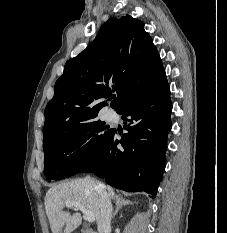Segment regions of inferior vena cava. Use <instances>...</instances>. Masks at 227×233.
<instances>
[{"label": "inferior vena cava", "instance_id": "1", "mask_svg": "<svg viewBox=\"0 0 227 233\" xmlns=\"http://www.w3.org/2000/svg\"><path fill=\"white\" fill-rule=\"evenodd\" d=\"M100 192V219L98 221V233H109L111 230L112 204L110 198L99 183L96 185Z\"/></svg>", "mask_w": 227, "mask_h": 233}]
</instances>
